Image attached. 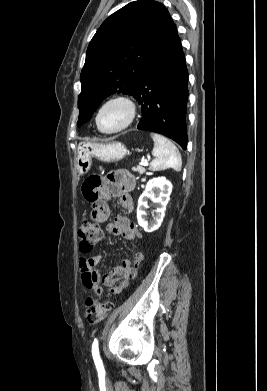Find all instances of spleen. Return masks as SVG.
Instances as JSON below:
<instances>
[{"label": "spleen", "instance_id": "spleen-1", "mask_svg": "<svg viewBox=\"0 0 267 391\" xmlns=\"http://www.w3.org/2000/svg\"><path fill=\"white\" fill-rule=\"evenodd\" d=\"M151 137L154 140L152 155L155 158L150 163V170L160 171L173 168L176 171H180L182 168V159L176 146L160 134L151 133Z\"/></svg>", "mask_w": 267, "mask_h": 391}]
</instances>
